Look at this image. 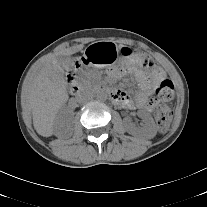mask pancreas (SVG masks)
I'll return each mask as SVG.
<instances>
[{"mask_svg": "<svg viewBox=\"0 0 207 207\" xmlns=\"http://www.w3.org/2000/svg\"><path fill=\"white\" fill-rule=\"evenodd\" d=\"M84 81H83V85L84 86H90L93 83V76H94V72L89 71V72H84Z\"/></svg>", "mask_w": 207, "mask_h": 207, "instance_id": "cf45deb5", "label": "pancreas"}]
</instances>
